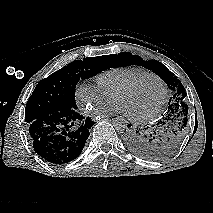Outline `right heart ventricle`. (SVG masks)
Here are the masks:
<instances>
[{"mask_svg": "<svg viewBox=\"0 0 213 213\" xmlns=\"http://www.w3.org/2000/svg\"><path fill=\"white\" fill-rule=\"evenodd\" d=\"M150 73L138 66H122L108 69L96 77L99 87L112 97L114 92L133 78Z\"/></svg>", "mask_w": 213, "mask_h": 213, "instance_id": "1", "label": "right heart ventricle"}]
</instances>
